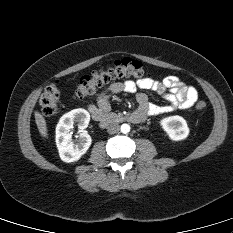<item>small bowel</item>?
I'll return each mask as SVG.
<instances>
[{"label":"small bowel","instance_id":"1","mask_svg":"<svg viewBox=\"0 0 233 233\" xmlns=\"http://www.w3.org/2000/svg\"><path fill=\"white\" fill-rule=\"evenodd\" d=\"M151 90L162 95L167 104L158 105L149 102L144 91ZM126 92L133 94L138 103V111L145 116H156L175 110L191 108L198 99V92L194 87L185 85L177 76L170 75L161 80L141 78L136 81L127 80L115 82L99 93L96 103L88 104L91 115L98 119L110 110V97L112 94Z\"/></svg>","mask_w":233,"mask_h":233}]
</instances>
